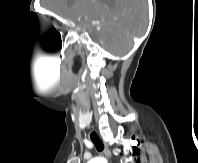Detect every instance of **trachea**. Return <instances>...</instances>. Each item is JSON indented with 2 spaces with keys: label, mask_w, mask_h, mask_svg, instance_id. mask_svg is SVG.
I'll use <instances>...</instances> for the list:
<instances>
[{
  "label": "trachea",
  "mask_w": 198,
  "mask_h": 163,
  "mask_svg": "<svg viewBox=\"0 0 198 163\" xmlns=\"http://www.w3.org/2000/svg\"><path fill=\"white\" fill-rule=\"evenodd\" d=\"M90 138L92 140V142L94 143L96 149L101 152L104 149V145L101 141V139L99 138V136L96 134V132H92L90 135Z\"/></svg>",
  "instance_id": "obj_1"
}]
</instances>
